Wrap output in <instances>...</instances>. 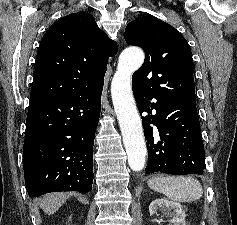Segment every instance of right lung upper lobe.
<instances>
[{
    "label": "right lung upper lobe",
    "mask_w": 237,
    "mask_h": 225,
    "mask_svg": "<svg viewBox=\"0 0 237 225\" xmlns=\"http://www.w3.org/2000/svg\"><path fill=\"white\" fill-rule=\"evenodd\" d=\"M117 50L92 15L80 11L61 18L41 39L30 104L59 100L104 82L108 58Z\"/></svg>",
    "instance_id": "right-lung-upper-lobe-1"
}]
</instances>
